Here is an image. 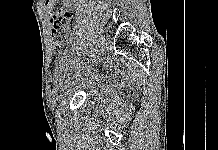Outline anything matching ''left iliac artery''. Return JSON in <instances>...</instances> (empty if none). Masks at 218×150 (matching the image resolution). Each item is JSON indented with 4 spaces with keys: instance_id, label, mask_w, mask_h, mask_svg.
Wrapping results in <instances>:
<instances>
[{
    "instance_id": "left-iliac-artery-1",
    "label": "left iliac artery",
    "mask_w": 218,
    "mask_h": 150,
    "mask_svg": "<svg viewBox=\"0 0 218 150\" xmlns=\"http://www.w3.org/2000/svg\"><path fill=\"white\" fill-rule=\"evenodd\" d=\"M100 41H101V38L100 37H97L96 38V44L98 45L99 43H100ZM96 50L98 49L96 46L94 47ZM93 48V49H94ZM97 53V51L94 53L93 52V55H94V57H95V54ZM87 58H91V57H87ZM93 63V62H92ZM92 63H89L90 65L92 64ZM80 71H85V65L84 64H81L80 66H76V69H73L72 71H69L68 72V75L69 76H72L74 73L75 74H77V73H79Z\"/></svg>"
}]
</instances>
